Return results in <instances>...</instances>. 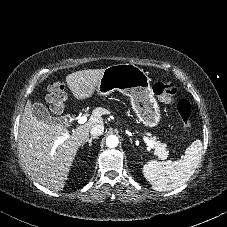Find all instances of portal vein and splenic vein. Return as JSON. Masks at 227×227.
Masks as SVG:
<instances>
[{
	"label": "portal vein and splenic vein",
	"instance_id": "18ae733b",
	"mask_svg": "<svg viewBox=\"0 0 227 227\" xmlns=\"http://www.w3.org/2000/svg\"><path fill=\"white\" fill-rule=\"evenodd\" d=\"M86 121H87V117L86 116H81V117H78V119H77V123L78 124H84ZM143 140L145 141V143L150 148H154L155 147V143L153 141H151L150 139H148L147 137H143Z\"/></svg>",
	"mask_w": 227,
	"mask_h": 227
}]
</instances>
